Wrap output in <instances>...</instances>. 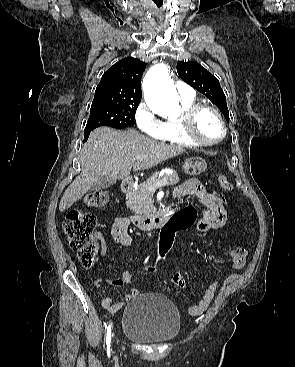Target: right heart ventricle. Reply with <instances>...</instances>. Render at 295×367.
Segmentation results:
<instances>
[{"label":"right heart ventricle","mask_w":295,"mask_h":367,"mask_svg":"<svg viewBox=\"0 0 295 367\" xmlns=\"http://www.w3.org/2000/svg\"><path fill=\"white\" fill-rule=\"evenodd\" d=\"M195 104V100H181V105L183 110L191 107ZM160 140L184 147H197L198 144L191 141L185 134L179 119L177 120H168L165 122V132Z\"/></svg>","instance_id":"e07e8e85"}]
</instances>
